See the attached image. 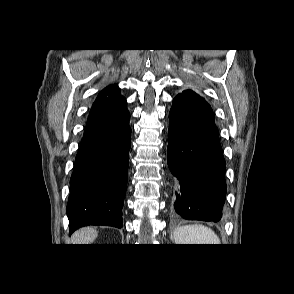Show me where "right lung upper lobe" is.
<instances>
[{
  "label": "right lung upper lobe",
  "instance_id": "cb5924a9",
  "mask_svg": "<svg viewBox=\"0 0 294 294\" xmlns=\"http://www.w3.org/2000/svg\"><path fill=\"white\" fill-rule=\"evenodd\" d=\"M123 97L119 93L117 85H110L106 87L97 97L92 107L109 105L122 100Z\"/></svg>",
  "mask_w": 294,
  "mask_h": 294
}]
</instances>
